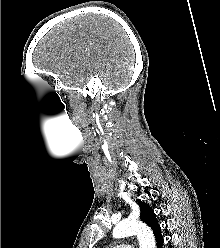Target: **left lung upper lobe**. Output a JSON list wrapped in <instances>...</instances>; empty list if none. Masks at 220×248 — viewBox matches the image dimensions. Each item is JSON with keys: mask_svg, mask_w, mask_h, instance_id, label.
<instances>
[{"mask_svg": "<svg viewBox=\"0 0 220 248\" xmlns=\"http://www.w3.org/2000/svg\"><path fill=\"white\" fill-rule=\"evenodd\" d=\"M138 204L140 206V219L145 222L154 232V235L161 229L158 221L156 219V215L151 207H149L145 202L138 200Z\"/></svg>", "mask_w": 220, "mask_h": 248, "instance_id": "1", "label": "left lung upper lobe"}]
</instances>
